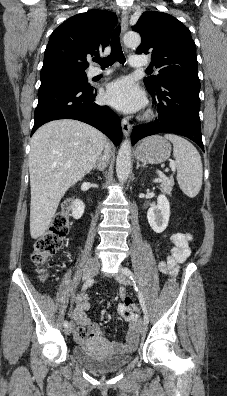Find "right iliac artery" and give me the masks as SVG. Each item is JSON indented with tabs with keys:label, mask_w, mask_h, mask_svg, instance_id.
<instances>
[{
	"label": "right iliac artery",
	"mask_w": 227,
	"mask_h": 396,
	"mask_svg": "<svg viewBox=\"0 0 227 396\" xmlns=\"http://www.w3.org/2000/svg\"><path fill=\"white\" fill-rule=\"evenodd\" d=\"M93 283H94V280H93V279L87 280V281L83 284L82 290H86L87 288L91 287V286L93 285ZM68 324H69L68 321L65 320L64 323H63V326L66 328V327L68 326Z\"/></svg>",
	"instance_id": "1"
}]
</instances>
